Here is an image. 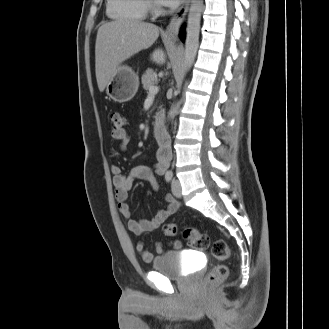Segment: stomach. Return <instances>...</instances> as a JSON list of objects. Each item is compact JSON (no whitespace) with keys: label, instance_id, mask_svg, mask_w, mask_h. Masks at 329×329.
Here are the masks:
<instances>
[{"label":"stomach","instance_id":"stomach-1","mask_svg":"<svg viewBox=\"0 0 329 329\" xmlns=\"http://www.w3.org/2000/svg\"><path fill=\"white\" fill-rule=\"evenodd\" d=\"M139 87L137 74L128 66H119L114 77L106 86V93L110 99L118 103L131 100Z\"/></svg>","mask_w":329,"mask_h":329}]
</instances>
